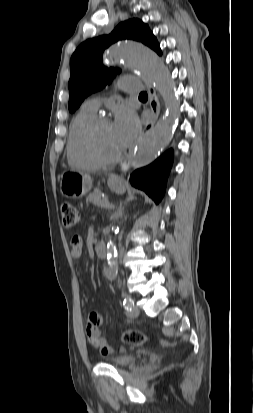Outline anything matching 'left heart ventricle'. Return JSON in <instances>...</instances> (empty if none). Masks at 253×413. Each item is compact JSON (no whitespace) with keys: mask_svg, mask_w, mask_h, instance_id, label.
Wrapping results in <instances>:
<instances>
[{"mask_svg":"<svg viewBox=\"0 0 253 413\" xmlns=\"http://www.w3.org/2000/svg\"><path fill=\"white\" fill-rule=\"evenodd\" d=\"M96 140L99 150L106 156H113L122 149L110 123L98 129Z\"/></svg>","mask_w":253,"mask_h":413,"instance_id":"obj_1","label":"left heart ventricle"}]
</instances>
